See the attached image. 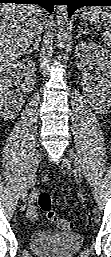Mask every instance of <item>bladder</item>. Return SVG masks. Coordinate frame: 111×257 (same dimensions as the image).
<instances>
[{
    "label": "bladder",
    "mask_w": 111,
    "mask_h": 257,
    "mask_svg": "<svg viewBox=\"0 0 111 257\" xmlns=\"http://www.w3.org/2000/svg\"><path fill=\"white\" fill-rule=\"evenodd\" d=\"M83 242V236L75 232L39 231L30 238L32 250L40 257H72Z\"/></svg>",
    "instance_id": "obj_1"
}]
</instances>
